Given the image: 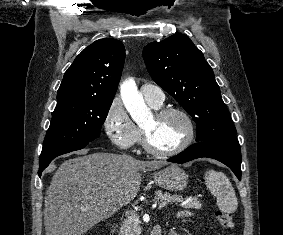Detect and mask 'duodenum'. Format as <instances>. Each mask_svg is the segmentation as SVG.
<instances>
[{"label": "duodenum", "instance_id": "410a0bca", "mask_svg": "<svg viewBox=\"0 0 283 235\" xmlns=\"http://www.w3.org/2000/svg\"><path fill=\"white\" fill-rule=\"evenodd\" d=\"M151 235H161V230L159 227H155L151 233Z\"/></svg>", "mask_w": 283, "mask_h": 235}]
</instances>
